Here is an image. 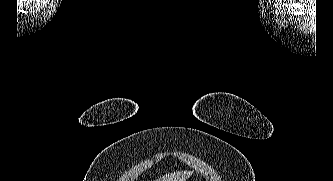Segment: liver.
Masks as SVG:
<instances>
[{"label":"liver","mask_w":333,"mask_h":181,"mask_svg":"<svg viewBox=\"0 0 333 181\" xmlns=\"http://www.w3.org/2000/svg\"><path fill=\"white\" fill-rule=\"evenodd\" d=\"M191 174V171H176L165 174L164 176L156 179V181H186L191 176Z\"/></svg>","instance_id":"liver-1"}]
</instances>
